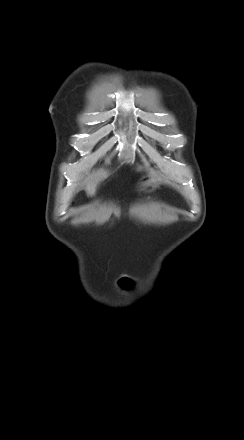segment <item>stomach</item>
<instances>
[{"label": "stomach", "instance_id": "stomach-1", "mask_svg": "<svg viewBox=\"0 0 244 440\" xmlns=\"http://www.w3.org/2000/svg\"><path fill=\"white\" fill-rule=\"evenodd\" d=\"M142 184L143 186H146V188L144 189L145 191H150L157 187V183L151 175L143 178Z\"/></svg>", "mask_w": 244, "mask_h": 440}]
</instances>
